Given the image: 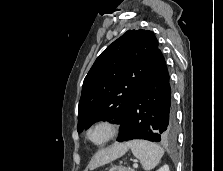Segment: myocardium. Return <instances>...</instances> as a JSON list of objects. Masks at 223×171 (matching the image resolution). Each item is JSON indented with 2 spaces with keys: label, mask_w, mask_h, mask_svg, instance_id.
I'll return each mask as SVG.
<instances>
[{
  "label": "myocardium",
  "mask_w": 223,
  "mask_h": 171,
  "mask_svg": "<svg viewBox=\"0 0 223 171\" xmlns=\"http://www.w3.org/2000/svg\"><path fill=\"white\" fill-rule=\"evenodd\" d=\"M98 128H104L106 130V136L101 141H95L92 138V133ZM119 131L117 122L109 118L98 119L93 122L86 131V139L89 143L96 147H102L113 140Z\"/></svg>",
  "instance_id": "1"
}]
</instances>
